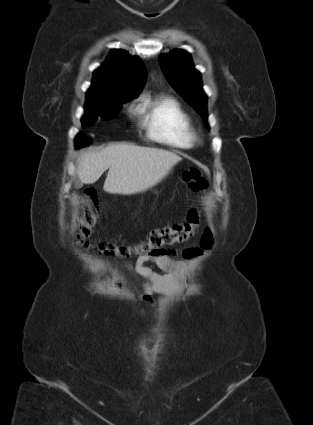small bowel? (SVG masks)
Instances as JSON below:
<instances>
[{
	"label": "small bowel",
	"mask_w": 313,
	"mask_h": 425,
	"mask_svg": "<svg viewBox=\"0 0 313 425\" xmlns=\"http://www.w3.org/2000/svg\"><path fill=\"white\" fill-rule=\"evenodd\" d=\"M171 252L164 251L156 255H140L134 265H129L144 282L142 298L148 303L153 302V295L165 293L174 286V274L177 272L179 265L174 261ZM147 262L155 263L165 274H160L146 266Z\"/></svg>",
	"instance_id": "obj_1"
}]
</instances>
